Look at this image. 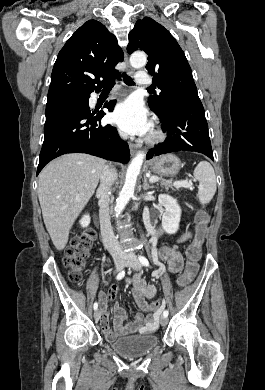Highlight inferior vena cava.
Returning <instances> with one entry per match:
<instances>
[{"instance_id":"obj_1","label":"inferior vena cava","mask_w":265,"mask_h":390,"mask_svg":"<svg viewBox=\"0 0 265 390\" xmlns=\"http://www.w3.org/2000/svg\"><path fill=\"white\" fill-rule=\"evenodd\" d=\"M125 138V136H123ZM117 179L116 170L105 165L100 178V186L97 190V196L99 198V219L101 238L105 248L112 256H122L123 250L120 247L114 232L112 230L110 215H109V191L112 183Z\"/></svg>"}]
</instances>
